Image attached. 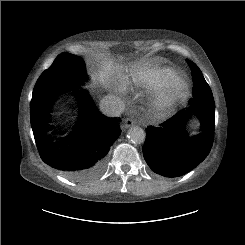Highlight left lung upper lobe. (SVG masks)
Masks as SVG:
<instances>
[{"instance_id":"left-lung-upper-lobe-1","label":"left lung upper lobe","mask_w":245,"mask_h":245,"mask_svg":"<svg viewBox=\"0 0 245 245\" xmlns=\"http://www.w3.org/2000/svg\"><path fill=\"white\" fill-rule=\"evenodd\" d=\"M187 63L192 70V78L194 82L193 98L190 99V102L196 103L198 102V99L208 100L213 94L209 85L205 81L200 69L197 67L196 64L191 61L187 60ZM202 88H204L205 90H201Z\"/></svg>"}]
</instances>
